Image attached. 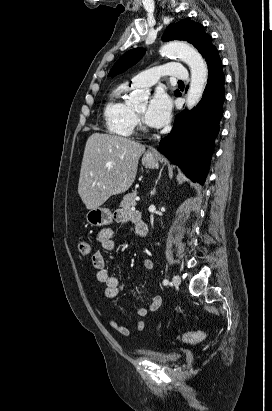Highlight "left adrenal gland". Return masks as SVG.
Masks as SVG:
<instances>
[{
	"instance_id": "1",
	"label": "left adrenal gland",
	"mask_w": 272,
	"mask_h": 411,
	"mask_svg": "<svg viewBox=\"0 0 272 411\" xmlns=\"http://www.w3.org/2000/svg\"><path fill=\"white\" fill-rule=\"evenodd\" d=\"M156 183H157V181L155 182V186H154L153 190L151 191L152 195H155V193H156Z\"/></svg>"
}]
</instances>
